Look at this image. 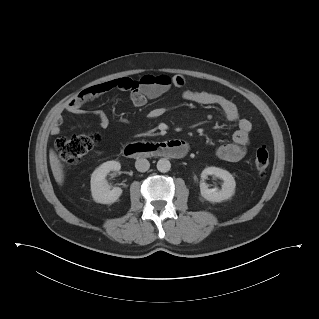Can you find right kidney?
<instances>
[{
	"label": "right kidney",
	"instance_id": "right-kidney-1",
	"mask_svg": "<svg viewBox=\"0 0 319 319\" xmlns=\"http://www.w3.org/2000/svg\"><path fill=\"white\" fill-rule=\"evenodd\" d=\"M121 165L117 161H107L101 164L91 175V193L93 200L101 204L114 203L122 194L120 187H110L105 177L110 171H119Z\"/></svg>",
	"mask_w": 319,
	"mask_h": 319
}]
</instances>
